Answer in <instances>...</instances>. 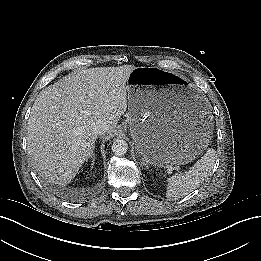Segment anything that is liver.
<instances>
[{"label": "liver", "mask_w": 261, "mask_h": 261, "mask_svg": "<svg viewBox=\"0 0 261 261\" xmlns=\"http://www.w3.org/2000/svg\"><path fill=\"white\" fill-rule=\"evenodd\" d=\"M134 65L73 72L37 96L27 127V145L36 170L65 186L91 157L96 122L113 133L127 109V80Z\"/></svg>", "instance_id": "1"}]
</instances>
